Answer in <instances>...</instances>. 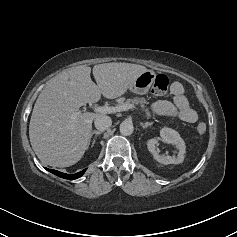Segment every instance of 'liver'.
I'll use <instances>...</instances> for the list:
<instances>
[{
    "mask_svg": "<svg viewBox=\"0 0 237 237\" xmlns=\"http://www.w3.org/2000/svg\"><path fill=\"white\" fill-rule=\"evenodd\" d=\"M147 68L131 63H105L91 68L76 66L49 80L38 96L29 125L31 146L40 161L55 167H69L84 155L92 122L102 114L83 112L81 106L100 100L101 94L114 99L125 94Z\"/></svg>",
    "mask_w": 237,
    "mask_h": 237,
    "instance_id": "obj_1",
    "label": "liver"
}]
</instances>
